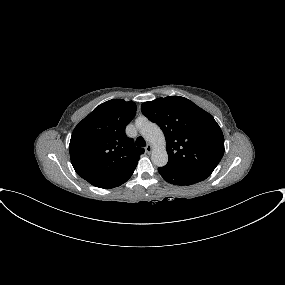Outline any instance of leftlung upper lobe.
<instances>
[{"label":"left lung upper lobe","mask_w":285,"mask_h":285,"mask_svg":"<svg viewBox=\"0 0 285 285\" xmlns=\"http://www.w3.org/2000/svg\"><path fill=\"white\" fill-rule=\"evenodd\" d=\"M142 113L166 138V170L210 176L224 154V136L214 118L192 101L168 96L144 102Z\"/></svg>","instance_id":"left-lung-upper-lobe-1"}]
</instances>
